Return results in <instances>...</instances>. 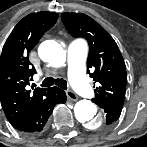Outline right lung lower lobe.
<instances>
[{
    "instance_id": "1",
    "label": "right lung lower lobe",
    "mask_w": 147,
    "mask_h": 147,
    "mask_svg": "<svg viewBox=\"0 0 147 147\" xmlns=\"http://www.w3.org/2000/svg\"><path fill=\"white\" fill-rule=\"evenodd\" d=\"M66 94L57 87L50 88L48 95L24 117L12 122V126L25 133H39L43 130L56 104L65 103Z\"/></svg>"
}]
</instances>
